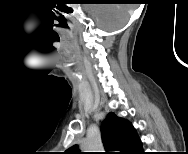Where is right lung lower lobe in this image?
<instances>
[{"instance_id": "obj_1", "label": "right lung lower lobe", "mask_w": 188, "mask_h": 154, "mask_svg": "<svg viewBox=\"0 0 188 154\" xmlns=\"http://www.w3.org/2000/svg\"><path fill=\"white\" fill-rule=\"evenodd\" d=\"M141 153H143V150H141V151L139 152V154H141Z\"/></svg>"}]
</instances>
